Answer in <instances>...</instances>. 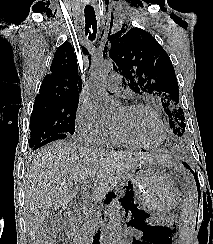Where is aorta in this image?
Returning <instances> with one entry per match:
<instances>
[{"instance_id":"obj_1","label":"aorta","mask_w":213,"mask_h":244,"mask_svg":"<svg viewBox=\"0 0 213 244\" xmlns=\"http://www.w3.org/2000/svg\"><path fill=\"white\" fill-rule=\"evenodd\" d=\"M112 70L113 63L111 60L99 59L91 65L88 75L90 97L103 117L115 115L120 108V102L112 98L100 87V84L107 78ZM121 211L122 206L120 202L117 199H113L107 209L110 244H125L121 224Z\"/></svg>"}]
</instances>
